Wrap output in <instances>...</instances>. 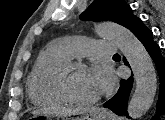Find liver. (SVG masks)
Listing matches in <instances>:
<instances>
[{
    "instance_id": "obj_1",
    "label": "liver",
    "mask_w": 165,
    "mask_h": 120,
    "mask_svg": "<svg viewBox=\"0 0 165 120\" xmlns=\"http://www.w3.org/2000/svg\"><path fill=\"white\" fill-rule=\"evenodd\" d=\"M86 109H73V108H66V107H58V108H52L46 111L52 112V113H56V114H60L63 116H68V115H75L78 113H81L83 111H85ZM36 113H40V111H36L34 112V114Z\"/></svg>"
}]
</instances>
